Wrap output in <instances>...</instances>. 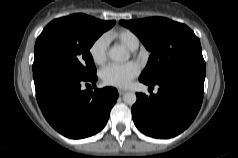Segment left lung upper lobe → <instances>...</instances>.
<instances>
[{"mask_svg": "<svg viewBox=\"0 0 238 158\" xmlns=\"http://www.w3.org/2000/svg\"><path fill=\"white\" fill-rule=\"evenodd\" d=\"M151 52L139 80L155 84L164 75L189 65H205L199 39L184 24L167 18L153 17L121 20Z\"/></svg>", "mask_w": 238, "mask_h": 158, "instance_id": "1", "label": "left lung upper lobe"}]
</instances>
